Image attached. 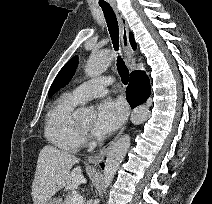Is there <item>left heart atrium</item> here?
<instances>
[{"label":"left heart atrium","instance_id":"39dd6f15","mask_svg":"<svg viewBox=\"0 0 212 204\" xmlns=\"http://www.w3.org/2000/svg\"><path fill=\"white\" fill-rule=\"evenodd\" d=\"M126 108L121 100L106 99L97 107V117L93 124V132L97 136L113 133L123 122Z\"/></svg>","mask_w":212,"mask_h":204}]
</instances>
